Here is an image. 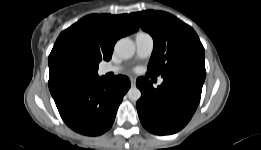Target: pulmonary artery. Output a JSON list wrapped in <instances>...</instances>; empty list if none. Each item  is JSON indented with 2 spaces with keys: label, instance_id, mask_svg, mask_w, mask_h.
Wrapping results in <instances>:
<instances>
[{
  "label": "pulmonary artery",
  "instance_id": "e3ab8cb5",
  "mask_svg": "<svg viewBox=\"0 0 261 150\" xmlns=\"http://www.w3.org/2000/svg\"><path fill=\"white\" fill-rule=\"evenodd\" d=\"M135 46H136V57L139 59H145L149 57L153 51L154 40L149 33L139 32L135 36ZM122 70L121 66L118 65H105L100 68V74L107 73H118ZM163 79H159V83H162Z\"/></svg>",
  "mask_w": 261,
  "mask_h": 150
}]
</instances>
